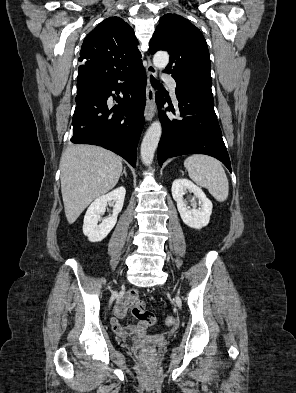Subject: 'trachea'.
<instances>
[{"instance_id":"trachea-1","label":"trachea","mask_w":296,"mask_h":393,"mask_svg":"<svg viewBox=\"0 0 296 393\" xmlns=\"http://www.w3.org/2000/svg\"><path fill=\"white\" fill-rule=\"evenodd\" d=\"M151 84L153 87L157 88V87H161L162 85L154 78L151 76L150 78Z\"/></svg>"}]
</instances>
